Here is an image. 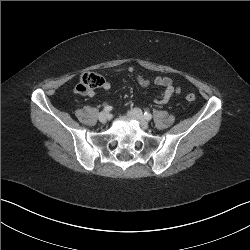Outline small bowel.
<instances>
[{
	"label": "small bowel",
	"mask_w": 250,
	"mask_h": 250,
	"mask_svg": "<svg viewBox=\"0 0 250 250\" xmlns=\"http://www.w3.org/2000/svg\"><path fill=\"white\" fill-rule=\"evenodd\" d=\"M115 71L125 72V73L133 75L137 83L141 87H148L151 84L162 87L161 94L155 99V102L157 104H165L168 101H170L175 95L181 93V88L179 86H175L173 83V80L170 77L155 76V77L148 78L138 73L132 67L118 68ZM111 87H112V83L110 81L108 80L103 81V84H102L103 89L109 90L111 89ZM86 95L92 98L95 95V93L94 91H89L86 93Z\"/></svg>",
	"instance_id": "1"
}]
</instances>
